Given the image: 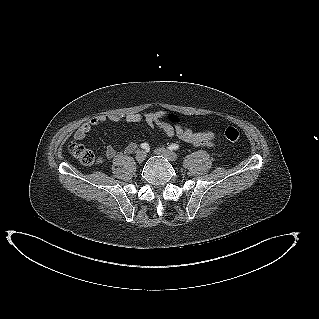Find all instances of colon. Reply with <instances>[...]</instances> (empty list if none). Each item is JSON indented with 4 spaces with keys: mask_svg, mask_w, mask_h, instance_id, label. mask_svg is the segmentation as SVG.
I'll list each match as a JSON object with an SVG mask.
<instances>
[{
    "mask_svg": "<svg viewBox=\"0 0 319 319\" xmlns=\"http://www.w3.org/2000/svg\"><path fill=\"white\" fill-rule=\"evenodd\" d=\"M167 119L171 123L179 124L180 118L175 114H170ZM225 138L231 143H239L241 141V134L239 130L234 127H227L225 130ZM70 154L75 157L82 165L90 166L95 163V155L93 152L82 144L71 142L68 146Z\"/></svg>",
    "mask_w": 319,
    "mask_h": 319,
    "instance_id": "1",
    "label": "colon"
}]
</instances>
